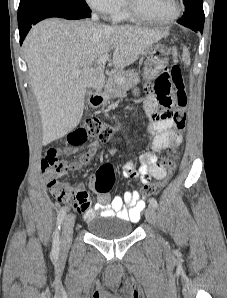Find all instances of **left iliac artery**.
I'll use <instances>...</instances> for the list:
<instances>
[{
  "label": "left iliac artery",
  "instance_id": "44dca946",
  "mask_svg": "<svg viewBox=\"0 0 227 298\" xmlns=\"http://www.w3.org/2000/svg\"><path fill=\"white\" fill-rule=\"evenodd\" d=\"M150 204H151L155 209L158 208V203H157V201H156L155 198H151V199H150Z\"/></svg>",
  "mask_w": 227,
  "mask_h": 298
}]
</instances>
